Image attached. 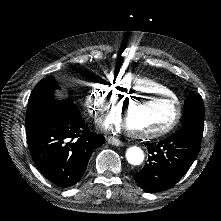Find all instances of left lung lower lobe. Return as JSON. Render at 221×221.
<instances>
[{
    "mask_svg": "<svg viewBox=\"0 0 221 221\" xmlns=\"http://www.w3.org/2000/svg\"><path fill=\"white\" fill-rule=\"evenodd\" d=\"M203 133L183 127L158 143H147L149 163L133 175L146 192L154 193L175 185L196 159Z\"/></svg>",
    "mask_w": 221,
    "mask_h": 221,
    "instance_id": "0a47b994",
    "label": "left lung lower lobe"
}]
</instances>
